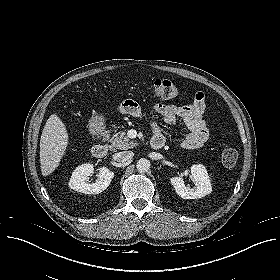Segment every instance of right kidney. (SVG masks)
I'll return each mask as SVG.
<instances>
[{
    "label": "right kidney",
    "instance_id": "right-kidney-1",
    "mask_svg": "<svg viewBox=\"0 0 280 280\" xmlns=\"http://www.w3.org/2000/svg\"><path fill=\"white\" fill-rule=\"evenodd\" d=\"M94 173L93 165L90 163L78 166L71 175L69 187L84 194H99L109 186L114 177V172L106 167L99 168L98 179L95 183H88L86 180Z\"/></svg>",
    "mask_w": 280,
    "mask_h": 280
}]
</instances>
